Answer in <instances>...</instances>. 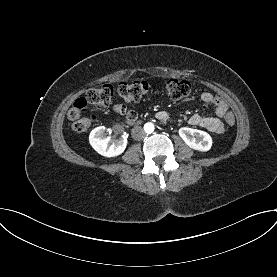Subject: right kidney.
I'll return each instance as SVG.
<instances>
[{
	"instance_id": "right-kidney-1",
	"label": "right kidney",
	"mask_w": 277,
	"mask_h": 277,
	"mask_svg": "<svg viewBox=\"0 0 277 277\" xmlns=\"http://www.w3.org/2000/svg\"><path fill=\"white\" fill-rule=\"evenodd\" d=\"M105 127L100 126L93 129L89 135L92 148L105 157H115L122 154L127 146V138L122 137L112 141L110 137H104Z\"/></svg>"
}]
</instances>
